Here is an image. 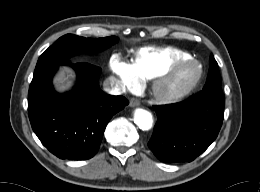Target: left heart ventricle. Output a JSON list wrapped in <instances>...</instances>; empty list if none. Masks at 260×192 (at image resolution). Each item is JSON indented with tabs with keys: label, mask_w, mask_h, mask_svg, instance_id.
<instances>
[{
	"label": "left heart ventricle",
	"mask_w": 260,
	"mask_h": 192,
	"mask_svg": "<svg viewBox=\"0 0 260 192\" xmlns=\"http://www.w3.org/2000/svg\"><path fill=\"white\" fill-rule=\"evenodd\" d=\"M195 75V69L188 67L178 72L169 82L163 86V90L170 91L188 83Z\"/></svg>",
	"instance_id": "obj_1"
}]
</instances>
